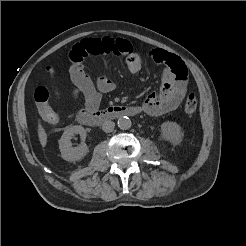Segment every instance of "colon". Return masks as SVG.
I'll use <instances>...</instances> for the list:
<instances>
[{
    "mask_svg": "<svg viewBox=\"0 0 246 246\" xmlns=\"http://www.w3.org/2000/svg\"><path fill=\"white\" fill-rule=\"evenodd\" d=\"M34 99L38 108V111L43 118L49 124L56 125L60 121L58 113L53 111L48 104L49 92L46 88L39 86L35 89ZM197 99L194 94H189L184 103V111L186 115L193 116L197 110Z\"/></svg>",
    "mask_w": 246,
    "mask_h": 246,
    "instance_id": "colon-1",
    "label": "colon"
}]
</instances>
